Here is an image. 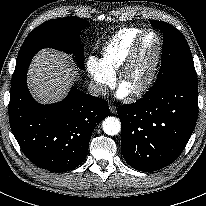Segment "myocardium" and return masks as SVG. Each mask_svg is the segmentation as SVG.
Returning <instances> with one entry per match:
<instances>
[{
    "label": "myocardium",
    "instance_id": "obj_1",
    "mask_svg": "<svg viewBox=\"0 0 206 206\" xmlns=\"http://www.w3.org/2000/svg\"><path fill=\"white\" fill-rule=\"evenodd\" d=\"M149 34L154 35L156 37L157 51H156L154 61L152 63V66L150 68V71H149L146 79L141 84H139L137 87L133 88L130 91V93L134 96H139V95L145 93L146 91H148L156 79L158 69H159V66L161 63V59H162V54H163V40H162V37L160 36V34L152 29L144 30L135 40L129 54L124 59V61L122 62V64L120 65V67L117 71L118 83L120 85H122L126 74L130 70V68L132 67V65L134 64V62L138 56L140 47H141L145 37Z\"/></svg>",
    "mask_w": 206,
    "mask_h": 206
}]
</instances>
